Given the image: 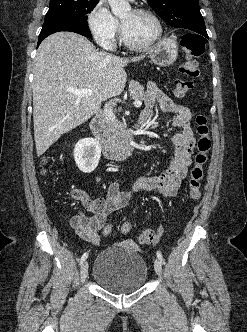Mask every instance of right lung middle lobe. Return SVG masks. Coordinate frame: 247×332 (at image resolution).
Segmentation results:
<instances>
[{
  "instance_id": "obj_1",
  "label": "right lung middle lobe",
  "mask_w": 247,
  "mask_h": 332,
  "mask_svg": "<svg viewBox=\"0 0 247 332\" xmlns=\"http://www.w3.org/2000/svg\"><path fill=\"white\" fill-rule=\"evenodd\" d=\"M98 2L99 0H50L45 20L62 18L88 24L87 14L95 8Z\"/></svg>"
}]
</instances>
